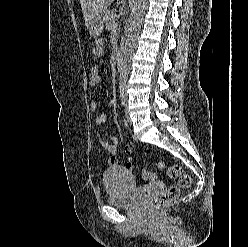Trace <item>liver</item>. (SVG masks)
Wrapping results in <instances>:
<instances>
[{"label":"liver","instance_id":"obj_1","mask_svg":"<svg viewBox=\"0 0 248 247\" xmlns=\"http://www.w3.org/2000/svg\"><path fill=\"white\" fill-rule=\"evenodd\" d=\"M114 0H80L81 8L87 28L94 18L106 11Z\"/></svg>","mask_w":248,"mask_h":247}]
</instances>
